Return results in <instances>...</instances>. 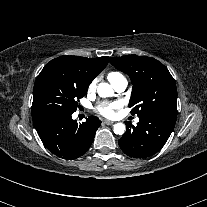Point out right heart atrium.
I'll return each mask as SVG.
<instances>
[{
  "label": "right heart atrium",
  "mask_w": 207,
  "mask_h": 207,
  "mask_svg": "<svg viewBox=\"0 0 207 207\" xmlns=\"http://www.w3.org/2000/svg\"><path fill=\"white\" fill-rule=\"evenodd\" d=\"M95 87H96V80H93L90 82V84L87 87L88 93L93 92L95 90Z\"/></svg>",
  "instance_id": "1"
}]
</instances>
